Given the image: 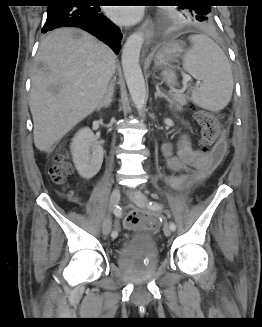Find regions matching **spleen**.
I'll list each match as a JSON object with an SVG mask.
<instances>
[{
    "label": "spleen",
    "instance_id": "1",
    "mask_svg": "<svg viewBox=\"0 0 262 327\" xmlns=\"http://www.w3.org/2000/svg\"><path fill=\"white\" fill-rule=\"evenodd\" d=\"M191 48L183 60L184 69L203 85L191 92V101L201 108L218 112L228 105L233 92V75L223 50L208 36H190ZM167 83L175 85V75H166Z\"/></svg>",
    "mask_w": 262,
    "mask_h": 327
}]
</instances>
